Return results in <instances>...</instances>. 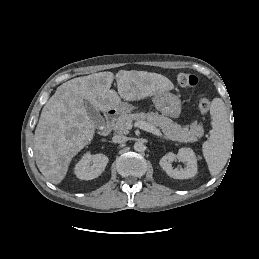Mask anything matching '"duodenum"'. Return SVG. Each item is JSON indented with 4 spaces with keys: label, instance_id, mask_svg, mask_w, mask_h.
Returning a JSON list of instances; mask_svg holds the SVG:
<instances>
[{
    "label": "duodenum",
    "instance_id": "duodenum-1",
    "mask_svg": "<svg viewBox=\"0 0 259 259\" xmlns=\"http://www.w3.org/2000/svg\"><path fill=\"white\" fill-rule=\"evenodd\" d=\"M119 114V110L115 108L108 109L105 113V119L106 123L105 125L100 129L99 133L101 135H108L112 128V123L116 119V117Z\"/></svg>",
    "mask_w": 259,
    "mask_h": 259
}]
</instances>
